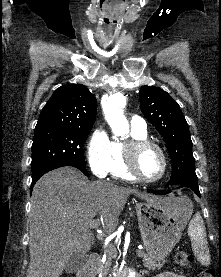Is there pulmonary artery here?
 I'll list each match as a JSON object with an SVG mask.
<instances>
[{"label":"pulmonary artery","mask_w":221,"mask_h":277,"mask_svg":"<svg viewBox=\"0 0 221 277\" xmlns=\"http://www.w3.org/2000/svg\"><path fill=\"white\" fill-rule=\"evenodd\" d=\"M131 128L140 132H146V122L139 116H133L130 119Z\"/></svg>","instance_id":"obj_1"}]
</instances>
